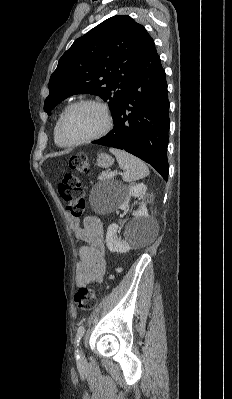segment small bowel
<instances>
[{"label": "small bowel", "instance_id": "1", "mask_svg": "<svg viewBox=\"0 0 232 399\" xmlns=\"http://www.w3.org/2000/svg\"><path fill=\"white\" fill-rule=\"evenodd\" d=\"M78 239L89 244L79 249V261L76 264L75 283L84 287L90 280L99 281L105 270L102 247V223L99 220L86 219L82 226L76 227Z\"/></svg>", "mask_w": 232, "mask_h": 399}]
</instances>
